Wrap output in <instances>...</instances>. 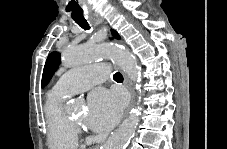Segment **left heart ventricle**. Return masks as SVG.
I'll return each instance as SVG.
<instances>
[{
	"instance_id": "left-heart-ventricle-1",
	"label": "left heart ventricle",
	"mask_w": 227,
	"mask_h": 149,
	"mask_svg": "<svg viewBox=\"0 0 227 149\" xmlns=\"http://www.w3.org/2000/svg\"><path fill=\"white\" fill-rule=\"evenodd\" d=\"M84 118H85V115L82 114V115L76 117L75 120L81 122V121H83Z\"/></svg>"
}]
</instances>
